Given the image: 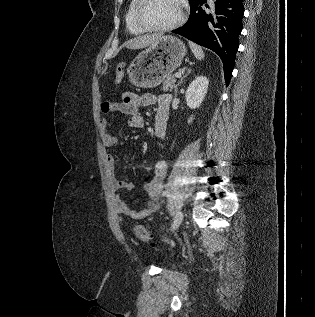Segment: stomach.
I'll list each match as a JSON object with an SVG mask.
<instances>
[{"mask_svg":"<svg viewBox=\"0 0 315 317\" xmlns=\"http://www.w3.org/2000/svg\"><path fill=\"white\" fill-rule=\"evenodd\" d=\"M185 54L186 47L180 39L162 36L130 63L129 81L136 87H156L180 66Z\"/></svg>","mask_w":315,"mask_h":317,"instance_id":"stomach-1","label":"stomach"}]
</instances>
